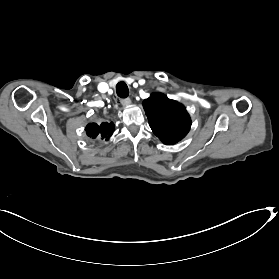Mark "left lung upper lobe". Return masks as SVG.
<instances>
[{
    "mask_svg": "<svg viewBox=\"0 0 279 279\" xmlns=\"http://www.w3.org/2000/svg\"><path fill=\"white\" fill-rule=\"evenodd\" d=\"M143 107L154 134L167 145L175 144L188 133L191 120L183 105L162 93H153Z\"/></svg>",
    "mask_w": 279,
    "mask_h": 279,
    "instance_id": "5c2ea615",
    "label": "left lung upper lobe"
}]
</instances>
